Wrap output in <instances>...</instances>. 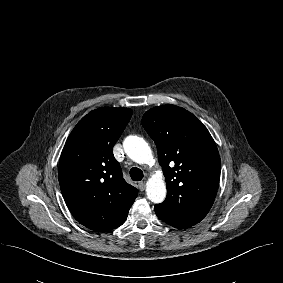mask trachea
<instances>
[{
	"instance_id": "obj_1",
	"label": "trachea",
	"mask_w": 283,
	"mask_h": 283,
	"mask_svg": "<svg viewBox=\"0 0 283 283\" xmlns=\"http://www.w3.org/2000/svg\"><path fill=\"white\" fill-rule=\"evenodd\" d=\"M143 171L137 167H133L130 170V177L133 181H141L143 179Z\"/></svg>"
}]
</instances>
